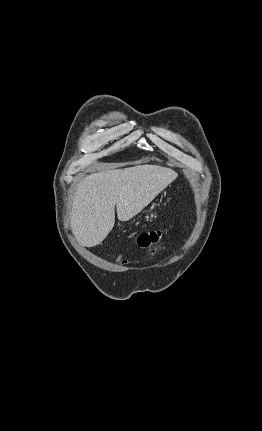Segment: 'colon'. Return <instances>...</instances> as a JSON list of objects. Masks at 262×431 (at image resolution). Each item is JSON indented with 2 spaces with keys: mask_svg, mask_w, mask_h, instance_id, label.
Wrapping results in <instances>:
<instances>
[{
  "mask_svg": "<svg viewBox=\"0 0 262 431\" xmlns=\"http://www.w3.org/2000/svg\"><path fill=\"white\" fill-rule=\"evenodd\" d=\"M162 236V232L160 231L146 232L138 237L137 244L142 249L154 251L160 248Z\"/></svg>",
  "mask_w": 262,
  "mask_h": 431,
  "instance_id": "5ec220e1",
  "label": "colon"
}]
</instances>
